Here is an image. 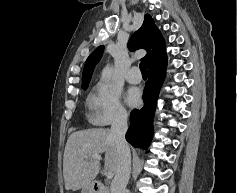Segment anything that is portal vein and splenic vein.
<instances>
[{
  "instance_id": "obj_1",
  "label": "portal vein and splenic vein",
  "mask_w": 237,
  "mask_h": 193,
  "mask_svg": "<svg viewBox=\"0 0 237 193\" xmlns=\"http://www.w3.org/2000/svg\"><path fill=\"white\" fill-rule=\"evenodd\" d=\"M89 157L94 158V159H98V160H101V159H102L101 156L98 155V154L91 155V156H85V158H89ZM113 176H114V173H113V172H111V171L106 172V177H107L108 179H112Z\"/></svg>"
}]
</instances>
